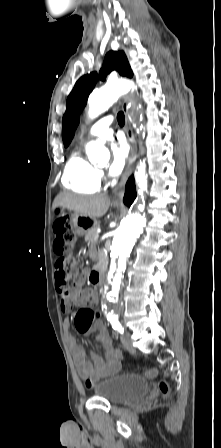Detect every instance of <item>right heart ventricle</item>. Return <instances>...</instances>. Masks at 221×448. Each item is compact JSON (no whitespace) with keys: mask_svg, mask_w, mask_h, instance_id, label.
Here are the masks:
<instances>
[{"mask_svg":"<svg viewBox=\"0 0 221 448\" xmlns=\"http://www.w3.org/2000/svg\"><path fill=\"white\" fill-rule=\"evenodd\" d=\"M62 183L76 193H95L100 188L99 171L76 150L65 166Z\"/></svg>","mask_w":221,"mask_h":448,"instance_id":"obj_1","label":"right heart ventricle"}]
</instances>
